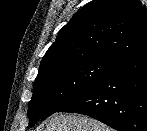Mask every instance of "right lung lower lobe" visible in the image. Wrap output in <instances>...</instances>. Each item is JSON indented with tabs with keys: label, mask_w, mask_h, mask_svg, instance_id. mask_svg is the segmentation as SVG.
<instances>
[{
	"label": "right lung lower lobe",
	"mask_w": 147,
	"mask_h": 131,
	"mask_svg": "<svg viewBox=\"0 0 147 131\" xmlns=\"http://www.w3.org/2000/svg\"><path fill=\"white\" fill-rule=\"evenodd\" d=\"M58 112L88 115L118 131H147V44Z\"/></svg>",
	"instance_id": "1"
}]
</instances>
